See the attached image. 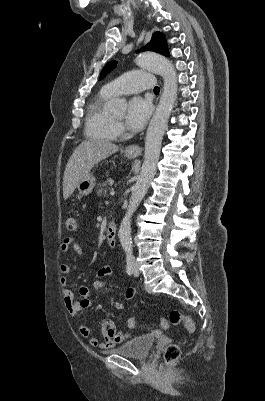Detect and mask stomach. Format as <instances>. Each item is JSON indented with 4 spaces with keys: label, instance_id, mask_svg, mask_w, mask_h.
I'll return each instance as SVG.
<instances>
[{
    "label": "stomach",
    "instance_id": "stomach-1",
    "mask_svg": "<svg viewBox=\"0 0 265 401\" xmlns=\"http://www.w3.org/2000/svg\"><path fill=\"white\" fill-rule=\"evenodd\" d=\"M126 156L128 158H135V156H132V154H128L126 152ZM95 186V176L93 172H87L86 176L78 182V190L82 196H87V194H90L92 192L93 188Z\"/></svg>",
    "mask_w": 265,
    "mask_h": 401
}]
</instances>
